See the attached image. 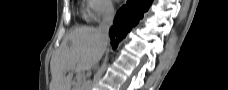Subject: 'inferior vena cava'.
<instances>
[{"instance_id": "inferior-vena-cava-1", "label": "inferior vena cava", "mask_w": 228, "mask_h": 90, "mask_svg": "<svg viewBox=\"0 0 228 90\" xmlns=\"http://www.w3.org/2000/svg\"><path fill=\"white\" fill-rule=\"evenodd\" d=\"M114 16H115V12H114L113 6L108 5L103 14L102 21L99 24V27L97 28L98 34H99L101 40L104 42L108 41V33H109V29L113 23Z\"/></svg>"}]
</instances>
